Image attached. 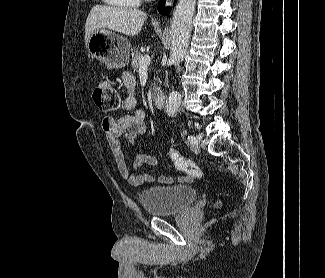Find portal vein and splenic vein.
<instances>
[{"mask_svg": "<svg viewBox=\"0 0 325 278\" xmlns=\"http://www.w3.org/2000/svg\"><path fill=\"white\" fill-rule=\"evenodd\" d=\"M151 58L148 54H145L140 60V68L148 67L150 65Z\"/></svg>", "mask_w": 325, "mask_h": 278, "instance_id": "obj_1", "label": "portal vein and splenic vein"}]
</instances>
